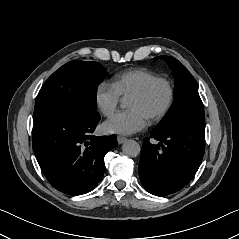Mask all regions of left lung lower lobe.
I'll list each match as a JSON object with an SVG mask.
<instances>
[{"mask_svg":"<svg viewBox=\"0 0 239 239\" xmlns=\"http://www.w3.org/2000/svg\"><path fill=\"white\" fill-rule=\"evenodd\" d=\"M205 123L188 120L161 133L151 132L157 145L144 139L139 176L144 188L166 196L185 187L197 172L205 149Z\"/></svg>","mask_w":239,"mask_h":239,"instance_id":"1","label":"left lung lower lobe"}]
</instances>
